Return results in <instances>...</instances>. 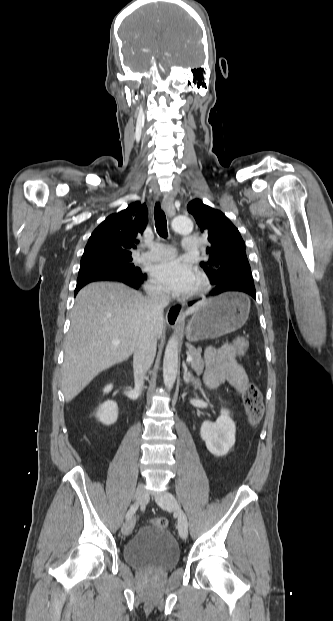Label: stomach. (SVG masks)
Segmentation results:
<instances>
[{
	"label": "stomach",
	"instance_id": "stomach-1",
	"mask_svg": "<svg viewBox=\"0 0 333 621\" xmlns=\"http://www.w3.org/2000/svg\"><path fill=\"white\" fill-rule=\"evenodd\" d=\"M249 306L241 293L227 292L205 300L188 323L187 340L215 339L241 328L248 319Z\"/></svg>",
	"mask_w": 333,
	"mask_h": 621
}]
</instances>
